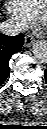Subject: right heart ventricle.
I'll return each mask as SVG.
<instances>
[{
    "label": "right heart ventricle",
    "mask_w": 47,
    "mask_h": 129,
    "mask_svg": "<svg viewBox=\"0 0 47 129\" xmlns=\"http://www.w3.org/2000/svg\"><path fill=\"white\" fill-rule=\"evenodd\" d=\"M33 17H36L42 10L47 0H17Z\"/></svg>",
    "instance_id": "right-heart-ventricle-1"
}]
</instances>
